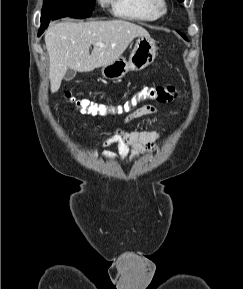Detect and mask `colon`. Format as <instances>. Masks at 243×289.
Instances as JSON below:
<instances>
[{
    "label": "colon",
    "mask_w": 243,
    "mask_h": 289,
    "mask_svg": "<svg viewBox=\"0 0 243 289\" xmlns=\"http://www.w3.org/2000/svg\"><path fill=\"white\" fill-rule=\"evenodd\" d=\"M178 95L174 85L145 87L141 89L133 98L132 104L144 100H153L161 104L172 102ZM65 97L72 101L83 114L94 117H107L121 114L124 109L119 106H109L104 103L95 102L89 99H77L71 92H66Z\"/></svg>",
    "instance_id": "5ec220e1"
}]
</instances>
